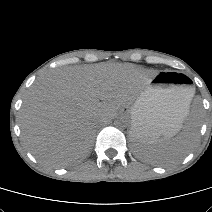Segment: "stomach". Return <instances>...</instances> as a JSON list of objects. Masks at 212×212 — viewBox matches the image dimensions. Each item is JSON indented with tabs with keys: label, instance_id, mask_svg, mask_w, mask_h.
I'll list each match as a JSON object with an SVG mask.
<instances>
[{
	"label": "stomach",
	"instance_id": "stomach-1",
	"mask_svg": "<svg viewBox=\"0 0 212 212\" xmlns=\"http://www.w3.org/2000/svg\"><path fill=\"white\" fill-rule=\"evenodd\" d=\"M191 88L178 72H159L151 78L131 108L129 136L134 146L158 144L177 134Z\"/></svg>",
	"mask_w": 212,
	"mask_h": 212
}]
</instances>
